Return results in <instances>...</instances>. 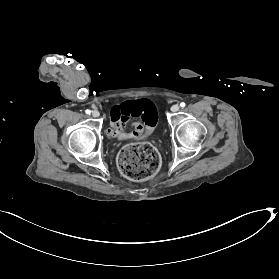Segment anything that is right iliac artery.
<instances>
[{
  "mask_svg": "<svg viewBox=\"0 0 279 279\" xmlns=\"http://www.w3.org/2000/svg\"><path fill=\"white\" fill-rule=\"evenodd\" d=\"M85 112H86V114H90V113H91V111H90V110H86Z\"/></svg>",
  "mask_w": 279,
  "mask_h": 279,
  "instance_id": "obj_1",
  "label": "right iliac artery"
}]
</instances>
